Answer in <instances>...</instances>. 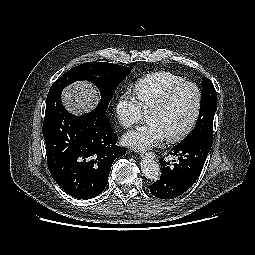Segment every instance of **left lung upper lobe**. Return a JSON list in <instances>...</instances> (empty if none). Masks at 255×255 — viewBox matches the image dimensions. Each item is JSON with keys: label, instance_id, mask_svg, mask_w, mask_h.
<instances>
[{"label": "left lung upper lobe", "instance_id": "obj_1", "mask_svg": "<svg viewBox=\"0 0 255 255\" xmlns=\"http://www.w3.org/2000/svg\"><path fill=\"white\" fill-rule=\"evenodd\" d=\"M217 110V94L212 82L203 77L201 107L199 119L193 131L180 143H186L199 137L213 136V119Z\"/></svg>", "mask_w": 255, "mask_h": 255}]
</instances>
